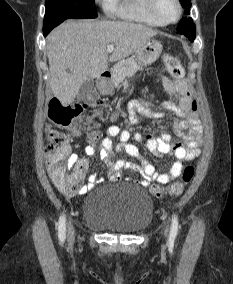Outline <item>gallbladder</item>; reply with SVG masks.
Wrapping results in <instances>:
<instances>
[{"label": "gallbladder", "instance_id": "1", "mask_svg": "<svg viewBox=\"0 0 233 284\" xmlns=\"http://www.w3.org/2000/svg\"><path fill=\"white\" fill-rule=\"evenodd\" d=\"M94 92H95L94 81L91 80V79H88V80L84 81L83 84L81 85V87L79 88L76 99H77V101L86 100Z\"/></svg>", "mask_w": 233, "mask_h": 284}]
</instances>
